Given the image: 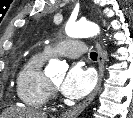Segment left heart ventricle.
Listing matches in <instances>:
<instances>
[{
	"label": "left heart ventricle",
	"instance_id": "obj_1",
	"mask_svg": "<svg viewBox=\"0 0 133 118\" xmlns=\"http://www.w3.org/2000/svg\"><path fill=\"white\" fill-rule=\"evenodd\" d=\"M61 80H62L61 77H59V78H53V79H52L53 83L56 84V85H59L60 82H61Z\"/></svg>",
	"mask_w": 133,
	"mask_h": 118
}]
</instances>
